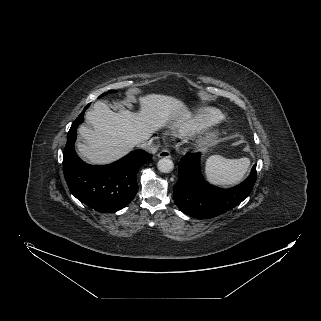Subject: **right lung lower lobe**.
<instances>
[{"label":"right lung lower lobe","instance_id":"1","mask_svg":"<svg viewBox=\"0 0 321 321\" xmlns=\"http://www.w3.org/2000/svg\"><path fill=\"white\" fill-rule=\"evenodd\" d=\"M88 104L72 123L63 153V171L71 193L81 202L103 213L116 212L128 205L138 191L137 172L152 155L136 150L108 165H89L76 154L77 127L84 120Z\"/></svg>","mask_w":321,"mask_h":321}]
</instances>
